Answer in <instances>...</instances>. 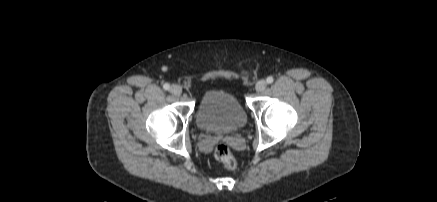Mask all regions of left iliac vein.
<instances>
[{"instance_id": "1", "label": "left iliac vein", "mask_w": 437, "mask_h": 202, "mask_svg": "<svg viewBox=\"0 0 437 202\" xmlns=\"http://www.w3.org/2000/svg\"><path fill=\"white\" fill-rule=\"evenodd\" d=\"M267 83L265 80H259L255 85V90L257 92H262L266 89Z\"/></svg>"}]
</instances>
